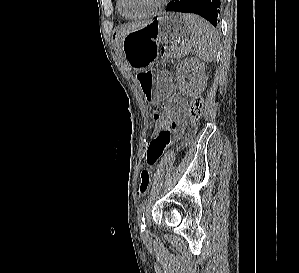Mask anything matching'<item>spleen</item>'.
<instances>
[{"mask_svg": "<svg viewBox=\"0 0 299 273\" xmlns=\"http://www.w3.org/2000/svg\"><path fill=\"white\" fill-rule=\"evenodd\" d=\"M185 20L192 34L190 42L196 56L206 63L212 62L217 53V31L208 21L198 15L186 14Z\"/></svg>", "mask_w": 299, "mask_h": 273, "instance_id": "spleen-1", "label": "spleen"}]
</instances>
